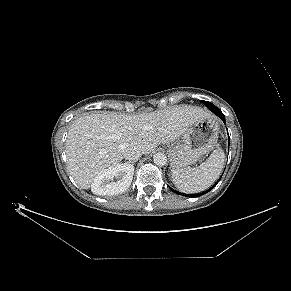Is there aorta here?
Listing matches in <instances>:
<instances>
[{
  "instance_id": "1",
  "label": "aorta",
  "mask_w": 291,
  "mask_h": 291,
  "mask_svg": "<svg viewBox=\"0 0 291 291\" xmlns=\"http://www.w3.org/2000/svg\"><path fill=\"white\" fill-rule=\"evenodd\" d=\"M153 161L157 166H164L167 163V157L164 153H156L153 156Z\"/></svg>"
}]
</instances>
